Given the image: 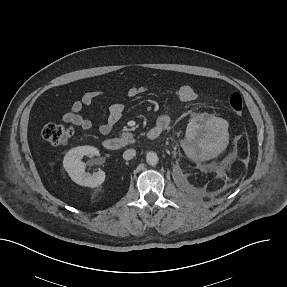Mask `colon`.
Listing matches in <instances>:
<instances>
[{
	"mask_svg": "<svg viewBox=\"0 0 287 287\" xmlns=\"http://www.w3.org/2000/svg\"><path fill=\"white\" fill-rule=\"evenodd\" d=\"M230 110L237 116L243 113L244 103L239 93H234L229 98ZM73 134L69 126L61 124H47L41 129V137L54 146L65 145Z\"/></svg>",
	"mask_w": 287,
	"mask_h": 287,
	"instance_id": "1",
	"label": "colon"
}]
</instances>
